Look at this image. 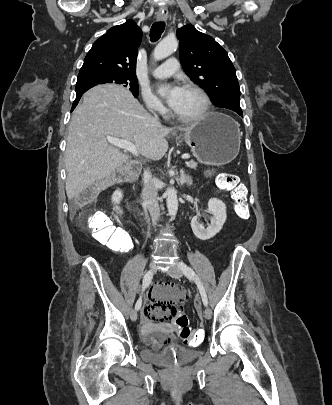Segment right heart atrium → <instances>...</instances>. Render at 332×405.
Here are the masks:
<instances>
[{
    "mask_svg": "<svg viewBox=\"0 0 332 405\" xmlns=\"http://www.w3.org/2000/svg\"><path fill=\"white\" fill-rule=\"evenodd\" d=\"M141 98L145 107L153 113L165 114L166 108L161 101L147 88L141 89Z\"/></svg>",
    "mask_w": 332,
    "mask_h": 405,
    "instance_id": "right-heart-atrium-1",
    "label": "right heart atrium"
}]
</instances>
